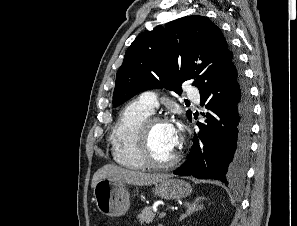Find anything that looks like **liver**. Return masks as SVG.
<instances>
[{
  "label": "liver",
  "mask_w": 297,
  "mask_h": 226,
  "mask_svg": "<svg viewBox=\"0 0 297 226\" xmlns=\"http://www.w3.org/2000/svg\"><path fill=\"white\" fill-rule=\"evenodd\" d=\"M169 177L170 175L167 174L143 173L140 171H132L123 169L116 165L108 164L104 165L94 173L91 187L94 188L100 179L105 178L118 180L133 185L147 186L156 184Z\"/></svg>",
  "instance_id": "6515ba94"
}]
</instances>
